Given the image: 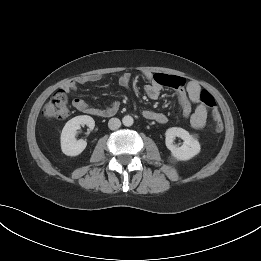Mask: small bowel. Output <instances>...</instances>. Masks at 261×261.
Segmentation results:
<instances>
[{
    "instance_id": "1",
    "label": "small bowel",
    "mask_w": 261,
    "mask_h": 261,
    "mask_svg": "<svg viewBox=\"0 0 261 261\" xmlns=\"http://www.w3.org/2000/svg\"><path fill=\"white\" fill-rule=\"evenodd\" d=\"M145 78L149 84L145 87L147 96L151 99H157L163 89L168 86L175 89L176 95L181 103L184 116H190V124L194 129H202L207 124L208 107L201 101V88L194 82H189L185 85L184 78L174 75L166 74H153L151 72H144ZM101 78L99 74L86 75L77 81H70L65 86L66 92H74L78 84L92 83ZM131 75L128 72L123 73L119 78V84L123 87H128L130 84ZM196 105L192 112V105ZM73 107L86 114L108 116L116 112L118 105L112 103L105 109H98L89 106L83 99L76 98L72 102ZM143 116L146 119L156 121L160 124L167 122V116L163 113L155 112L152 110H144Z\"/></svg>"
}]
</instances>
